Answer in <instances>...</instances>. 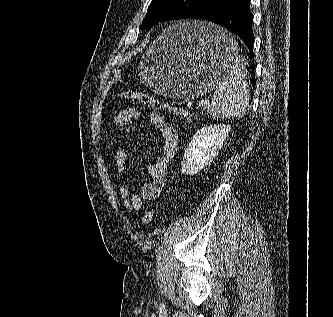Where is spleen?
Masks as SVG:
<instances>
[{
  "instance_id": "obj_1",
  "label": "spleen",
  "mask_w": 333,
  "mask_h": 317,
  "mask_svg": "<svg viewBox=\"0 0 333 317\" xmlns=\"http://www.w3.org/2000/svg\"><path fill=\"white\" fill-rule=\"evenodd\" d=\"M214 42L225 49L229 56L227 72L219 82L209 110L217 118H241L244 116L249 101L246 81L247 70L244 60L237 52V43L223 28L214 25Z\"/></svg>"
}]
</instances>
